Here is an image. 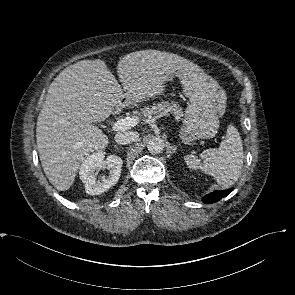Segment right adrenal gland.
<instances>
[{
	"mask_svg": "<svg viewBox=\"0 0 295 295\" xmlns=\"http://www.w3.org/2000/svg\"><path fill=\"white\" fill-rule=\"evenodd\" d=\"M114 148L117 150V149H118V146H117V145H115V146H114Z\"/></svg>",
	"mask_w": 295,
	"mask_h": 295,
	"instance_id": "2a0ac1e0",
	"label": "right adrenal gland"
}]
</instances>
